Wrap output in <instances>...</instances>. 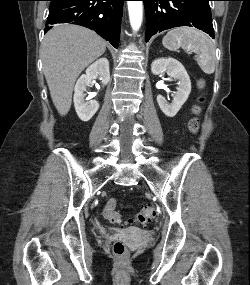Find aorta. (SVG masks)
I'll return each instance as SVG.
<instances>
[{"label": "aorta", "mask_w": 250, "mask_h": 285, "mask_svg": "<svg viewBox=\"0 0 250 285\" xmlns=\"http://www.w3.org/2000/svg\"><path fill=\"white\" fill-rule=\"evenodd\" d=\"M128 13L130 25L133 31H138L141 27L143 18V2L142 1H128Z\"/></svg>", "instance_id": "obj_1"}]
</instances>
